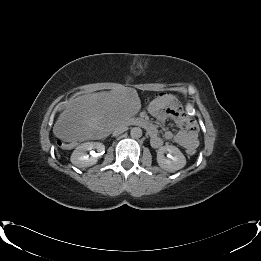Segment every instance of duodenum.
Returning a JSON list of instances; mask_svg holds the SVG:
<instances>
[{
    "mask_svg": "<svg viewBox=\"0 0 261 261\" xmlns=\"http://www.w3.org/2000/svg\"><path fill=\"white\" fill-rule=\"evenodd\" d=\"M137 123L140 125H145L146 121L144 119H139V120H137Z\"/></svg>",
    "mask_w": 261,
    "mask_h": 261,
    "instance_id": "duodenum-1",
    "label": "duodenum"
}]
</instances>
